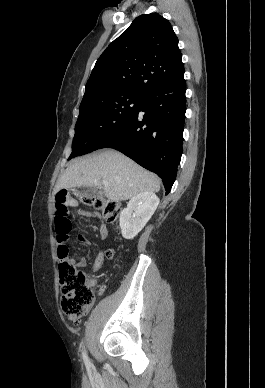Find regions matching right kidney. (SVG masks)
Listing matches in <instances>:
<instances>
[{"instance_id":"ca27d5eb","label":"right kidney","mask_w":265,"mask_h":388,"mask_svg":"<svg viewBox=\"0 0 265 388\" xmlns=\"http://www.w3.org/2000/svg\"><path fill=\"white\" fill-rule=\"evenodd\" d=\"M159 198L153 192H142L131 198L120 214L121 234L125 240H133L153 216Z\"/></svg>"}]
</instances>
